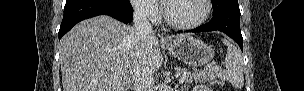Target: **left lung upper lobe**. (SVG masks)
Masks as SVG:
<instances>
[{
	"label": "left lung upper lobe",
	"instance_id": "obj_1",
	"mask_svg": "<svg viewBox=\"0 0 304 91\" xmlns=\"http://www.w3.org/2000/svg\"><path fill=\"white\" fill-rule=\"evenodd\" d=\"M213 6V15L221 12L227 6L238 4V0H211Z\"/></svg>",
	"mask_w": 304,
	"mask_h": 91
}]
</instances>
